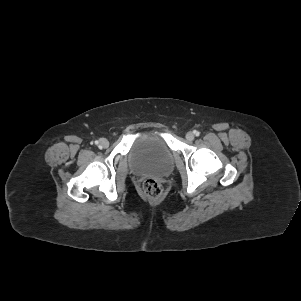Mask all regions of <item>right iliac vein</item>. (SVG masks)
I'll list each match as a JSON object with an SVG mask.
<instances>
[{"label": "right iliac vein", "instance_id": "1", "mask_svg": "<svg viewBox=\"0 0 301 301\" xmlns=\"http://www.w3.org/2000/svg\"><path fill=\"white\" fill-rule=\"evenodd\" d=\"M99 146L101 148H107L109 146V141L106 138H101L99 140Z\"/></svg>", "mask_w": 301, "mask_h": 301}]
</instances>
